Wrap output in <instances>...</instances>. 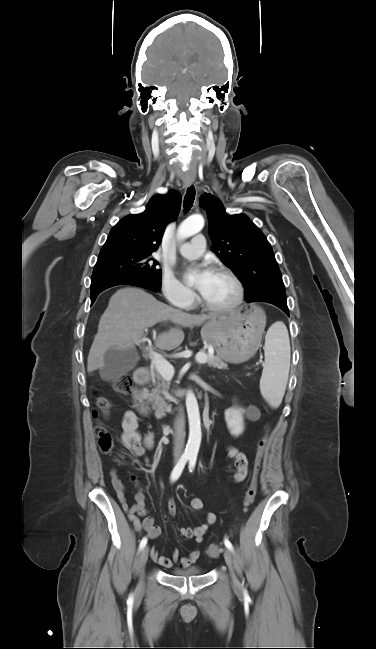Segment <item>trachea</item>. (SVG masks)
<instances>
[{
  "instance_id": "obj_1",
  "label": "trachea",
  "mask_w": 376,
  "mask_h": 649,
  "mask_svg": "<svg viewBox=\"0 0 376 649\" xmlns=\"http://www.w3.org/2000/svg\"><path fill=\"white\" fill-rule=\"evenodd\" d=\"M194 199H195V188L191 186L187 189L186 195L184 197L185 211H188L192 207L194 203Z\"/></svg>"
}]
</instances>
